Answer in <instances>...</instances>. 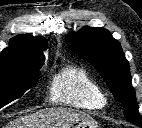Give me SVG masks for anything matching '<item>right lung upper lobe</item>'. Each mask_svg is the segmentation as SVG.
I'll use <instances>...</instances> for the list:
<instances>
[{"label":"right lung upper lobe","mask_w":142,"mask_h":128,"mask_svg":"<svg viewBox=\"0 0 142 128\" xmlns=\"http://www.w3.org/2000/svg\"><path fill=\"white\" fill-rule=\"evenodd\" d=\"M47 46L43 37L25 34L12 38L9 48L0 54V78L15 77L32 64L44 61Z\"/></svg>","instance_id":"obj_1"}]
</instances>
